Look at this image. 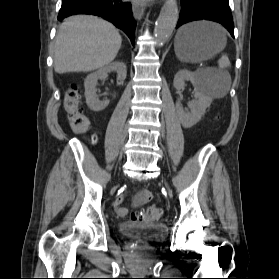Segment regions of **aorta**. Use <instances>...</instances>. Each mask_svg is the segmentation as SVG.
I'll return each mask as SVG.
<instances>
[{
	"label": "aorta",
	"mask_w": 279,
	"mask_h": 279,
	"mask_svg": "<svg viewBox=\"0 0 279 279\" xmlns=\"http://www.w3.org/2000/svg\"><path fill=\"white\" fill-rule=\"evenodd\" d=\"M179 11L176 0H166L156 21L154 36L158 46L166 43L178 21Z\"/></svg>",
	"instance_id": "obj_1"
}]
</instances>
